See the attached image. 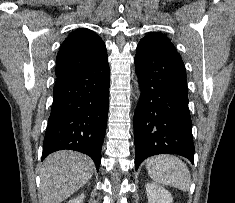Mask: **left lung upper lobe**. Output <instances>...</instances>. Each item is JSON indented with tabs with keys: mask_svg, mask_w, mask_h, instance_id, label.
I'll return each mask as SVG.
<instances>
[{
	"mask_svg": "<svg viewBox=\"0 0 235 203\" xmlns=\"http://www.w3.org/2000/svg\"><path fill=\"white\" fill-rule=\"evenodd\" d=\"M141 41H161L174 48L170 39L161 33H153V34L151 33L145 36Z\"/></svg>",
	"mask_w": 235,
	"mask_h": 203,
	"instance_id": "1",
	"label": "left lung upper lobe"
}]
</instances>
